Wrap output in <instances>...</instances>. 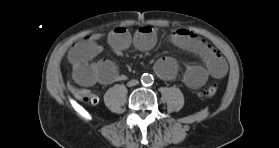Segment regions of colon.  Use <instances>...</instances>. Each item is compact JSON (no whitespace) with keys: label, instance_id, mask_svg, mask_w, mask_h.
Masks as SVG:
<instances>
[{"label":"colon","instance_id":"1","mask_svg":"<svg viewBox=\"0 0 279 148\" xmlns=\"http://www.w3.org/2000/svg\"><path fill=\"white\" fill-rule=\"evenodd\" d=\"M217 92V86L215 84H210L207 87L203 88L200 92L199 95L200 97L203 98H212L215 96ZM76 96L87 103L90 104H96L98 102V97L96 94H94L92 91L90 90H86V89H78L75 91Z\"/></svg>","mask_w":279,"mask_h":148}]
</instances>
